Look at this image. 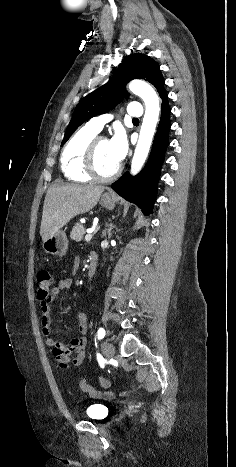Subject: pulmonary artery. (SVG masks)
I'll use <instances>...</instances> for the list:
<instances>
[{
  "mask_svg": "<svg viewBox=\"0 0 236 467\" xmlns=\"http://www.w3.org/2000/svg\"><path fill=\"white\" fill-rule=\"evenodd\" d=\"M126 113L127 115L132 116L134 118L135 117L138 118L142 116L143 109H142L141 104L139 102L130 103L126 109ZM111 119H112V115L110 114L99 115V116L91 118L89 122L87 123V126H89L90 128H92L93 130L97 132H100L103 126Z\"/></svg>",
  "mask_w": 236,
  "mask_h": 467,
  "instance_id": "e3ab8cb5",
  "label": "pulmonary artery"
}]
</instances>
